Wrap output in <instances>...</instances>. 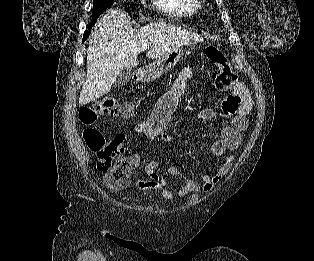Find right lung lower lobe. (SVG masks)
<instances>
[{
    "instance_id": "right-lung-lower-lobe-1",
    "label": "right lung lower lobe",
    "mask_w": 314,
    "mask_h": 261,
    "mask_svg": "<svg viewBox=\"0 0 314 261\" xmlns=\"http://www.w3.org/2000/svg\"><path fill=\"white\" fill-rule=\"evenodd\" d=\"M91 28H92V26H89V30H91ZM89 34H90V31L84 34L83 42H84L85 39L89 36Z\"/></svg>"
}]
</instances>
